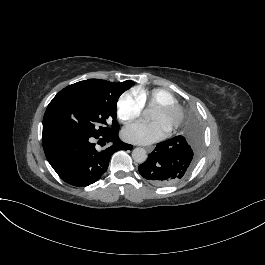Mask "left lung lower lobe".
Listing matches in <instances>:
<instances>
[{
	"mask_svg": "<svg viewBox=\"0 0 265 265\" xmlns=\"http://www.w3.org/2000/svg\"><path fill=\"white\" fill-rule=\"evenodd\" d=\"M200 150L201 126L196 118H191L185 135L158 143L139 165V173L155 185L174 184L192 170Z\"/></svg>",
	"mask_w": 265,
	"mask_h": 265,
	"instance_id": "obj_1",
	"label": "left lung lower lobe"
}]
</instances>
